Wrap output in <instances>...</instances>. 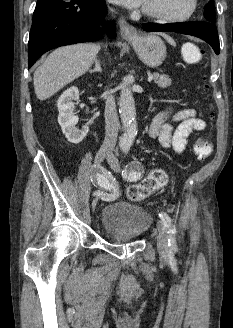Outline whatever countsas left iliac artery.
<instances>
[{"label":"left iliac artery","instance_id":"1","mask_svg":"<svg viewBox=\"0 0 233 328\" xmlns=\"http://www.w3.org/2000/svg\"><path fill=\"white\" fill-rule=\"evenodd\" d=\"M128 150L129 147L127 146L123 147V151L125 152V154L128 152ZM123 176L128 178L129 181H136L141 177V174L136 171H131L128 175L124 173ZM159 217L161 218L167 230L170 250H176L177 248L176 237H175L176 230L174 225L172 224L170 216L165 212H161L159 213Z\"/></svg>","mask_w":233,"mask_h":328}]
</instances>
